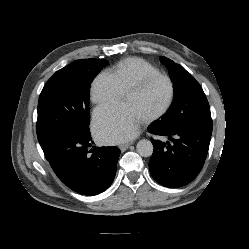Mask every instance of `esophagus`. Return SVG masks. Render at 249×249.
Masks as SVG:
<instances>
[{
    "label": "esophagus",
    "mask_w": 249,
    "mask_h": 249,
    "mask_svg": "<svg viewBox=\"0 0 249 249\" xmlns=\"http://www.w3.org/2000/svg\"><path fill=\"white\" fill-rule=\"evenodd\" d=\"M131 145H132V143H123V144L119 145V149L123 152V151L127 150Z\"/></svg>",
    "instance_id": "1"
}]
</instances>
